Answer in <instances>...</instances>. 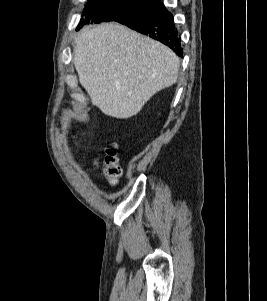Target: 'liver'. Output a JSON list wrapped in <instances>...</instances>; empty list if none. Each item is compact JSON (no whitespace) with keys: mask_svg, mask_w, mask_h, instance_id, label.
I'll return each instance as SVG.
<instances>
[{"mask_svg":"<svg viewBox=\"0 0 267 301\" xmlns=\"http://www.w3.org/2000/svg\"><path fill=\"white\" fill-rule=\"evenodd\" d=\"M74 43L79 82L105 115L130 118L153 95L177 81L179 57L123 25L85 27Z\"/></svg>","mask_w":267,"mask_h":301,"instance_id":"liver-1","label":"liver"}]
</instances>
